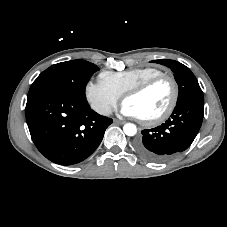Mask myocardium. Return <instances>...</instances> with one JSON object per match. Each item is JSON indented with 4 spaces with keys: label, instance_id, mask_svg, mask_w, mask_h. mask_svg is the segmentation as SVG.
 <instances>
[{
    "label": "myocardium",
    "instance_id": "obj_1",
    "mask_svg": "<svg viewBox=\"0 0 227 227\" xmlns=\"http://www.w3.org/2000/svg\"><path fill=\"white\" fill-rule=\"evenodd\" d=\"M162 80H168L171 83V86H172L171 100L168 106L166 107V109L163 112H161L159 115L148 119L139 118L144 125H148V126L157 125L165 121L173 113L179 98V86L175 77L170 74L162 73L141 82L140 84L132 87L131 89L127 90L123 94V102H124L129 97L137 96L144 93L153 85H155L156 83Z\"/></svg>",
    "mask_w": 227,
    "mask_h": 227
}]
</instances>
